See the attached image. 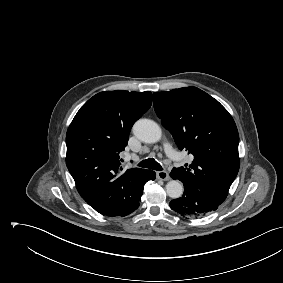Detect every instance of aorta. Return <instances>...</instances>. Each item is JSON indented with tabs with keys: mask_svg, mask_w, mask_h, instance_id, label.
Returning a JSON list of instances; mask_svg holds the SVG:
<instances>
[{
	"mask_svg": "<svg viewBox=\"0 0 283 283\" xmlns=\"http://www.w3.org/2000/svg\"><path fill=\"white\" fill-rule=\"evenodd\" d=\"M133 133L144 143H156L162 136L159 125L149 119H139L133 126ZM165 188L168 196L173 199L181 197L184 191L182 183L178 180L169 181Z\"/></svg>",
	"mask_w": 283,
	"mask_h": 283,
	"instance_id": "762f6f07",
	"label": "aorta"
}]
</instances>
